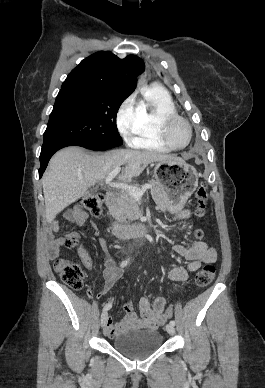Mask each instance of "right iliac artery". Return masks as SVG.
Returning <instances> with one entry per match:
<instances>
[{
  "label": "right iliac artery",
  "instance_id": "obj_1",
  "mask_svg": "<svg viewBox=\"0 0 265 388\" xmlns=\"http://www.w3.org/2000/svg\"><path fill=\"white\" fill-rule=\"evenodd\" d=\"M128 262H129V259L126 260V261H123V262L121 263L120 266H121V267H125V266L128 264ZM110 308H111V305L105 306V307L103 308V312L109 310Z\"/></svg>",
  "mask_w": 265,
  "mask_h": 388
}]
</instances>
